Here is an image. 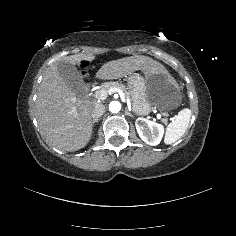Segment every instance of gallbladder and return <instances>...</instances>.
<instances>
[{
  "instance_id": "gallbladder-1",
  "label": "gallbladder",
  "mask_w": 236,
  "mask_h": 236,
  "mask_svg": "<svg viewBox=\"0 0 236 236\" xmlns=\"http://www.w3.org/2000/svg\"><path fill=\"white\" fill-rule=\"evenodd\" d=\"M57 70L71 90L76 91L85 85L82 75L74 64L61 60L57 64Z\"/></svg>"
}]
</instances>
